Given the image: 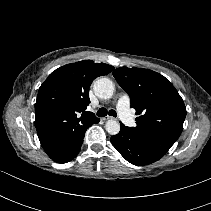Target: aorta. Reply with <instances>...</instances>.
<instances>
[{"instance_id": "762f6f07", "label": "aorta", "mask_w": 211, "mask_h": 211, "mask_svg": "<svg viewBox=\"0 0 211 211\" xmlns=\"http://www.w3.org/2000/svg\"><path fill=\"white\" fill-rule=\"evenodd\" d=\"M94 93L100 99H109L114 93V84L108 78H100L94 82L93 85ZM106 131L111 135H116L120 131V124L111 119L106 122Z\"/></svg>"}]
</instances>
